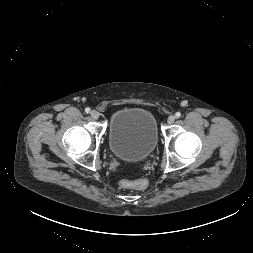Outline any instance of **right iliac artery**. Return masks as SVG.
Returning <instances> with one entry per match:
<instances>
[{"instance_id": "82829eb1", "label": "right iliac artery", "mask_w": 253, "mask_h": 253, "mask_svg": "<svg viewBox=\"0 0 253 253\" xmlns=\"http://www.w3.org/2000/svg\"><path fill=\"white\" fill-rule=\"evenodd\" d=\"M85 112H86V113H89V112H90V108H86V109H85Z\"/></svg>"}]
</instances>
